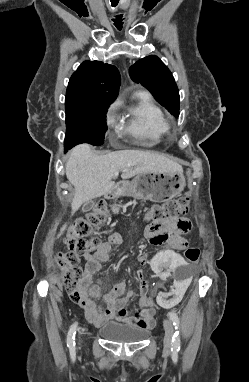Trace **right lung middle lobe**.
I'll return each instance as SVG.
<instances>
[{"mask_svg": "<svg viewBox=\"0 0 249 382\" xmlns=\"http://www.w3.org/2000/svg\"><path fill=\"white\" fill-rule=\"evenodd\" d=\"M110 104L108 101H96L66 109L65 151L80 143H104L107 130L105 117Z\"/></svg>", "mask_w": 249, "mask_h": 382, "instance_id": "right-lung-middle-lobe-1", "label": "right lung middle lobe"}]
</instances>
